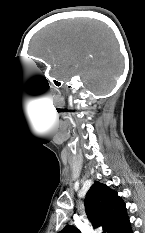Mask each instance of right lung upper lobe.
Returning a JSON list of instances; mask_svg holds the SVG:
<instances>
[{
    "mask_svg": "<svg viewBox=\"0 0 145 233\" xmlns=\"http://www.w3.org/2000/svg\"><path fill=\"white\" fill-rule=\"evenodd\" d=\"M85 209L92 225L102 226L103 233H113L128 219L126 205L117 192L98 181L91 186L86 195ZM59 233H80V231L74 226L67 225Z\"/></svg>",
    "mask_w": 145,
    "mask_h": 233,
    "instance_id": "1",
    "label": "right lung upper lobe"
}]
</instances>
